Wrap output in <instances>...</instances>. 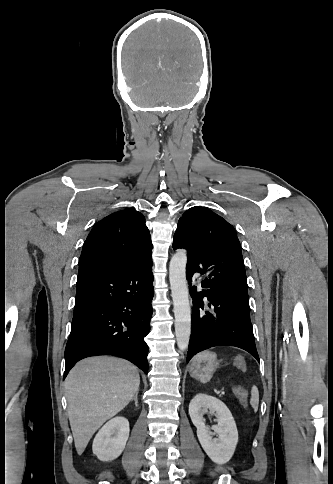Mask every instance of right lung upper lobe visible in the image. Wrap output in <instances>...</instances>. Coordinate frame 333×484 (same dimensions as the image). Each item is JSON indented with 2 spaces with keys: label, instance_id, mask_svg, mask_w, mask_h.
Returning a JSON list of instances; mask_svg holds the SVG:
<instances>
[{
  "label": "right lung upper lobe",
  "instance_id": "obj_1",
  "mask_svg": "<svg viewBox=\"0 0 333 484\" xmlns=\"http://www.w3.org/2000/svg\"><path fill=\"white\" fill-rule=\"evenodd\" d=\"M152 243L142 213L128 208L97 222L79 259L78 273L97 269H126L151 259Z\"/></svg>",
  "mask_w": 333,
  "mask_h": 484
}]
</instances>
